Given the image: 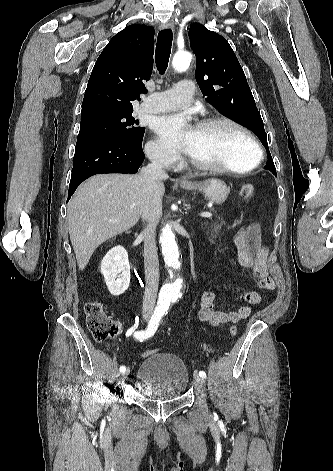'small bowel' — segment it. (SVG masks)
Wrapping results in <instances>:
<instances>
[{
  "mask_svg": "<svg viewBox=\"0 0 333 471\" xmlns=\"http://www.w3.org/2000/svg\"><path fill=\"white\" fill-rule=\"evenodd\" d=\"M236 257L240 266L250 269L252 277L260 289L271 291L275 288V281L269 275L267 257L268 251L261 243L260 226L252 223L240 229L233 240ZM216 296L212 291H205L201 295L198 318L203 323L214 327H221L227 323H238L247 319L251 313V305L262 302V295L256 291H245L237 299L244 304L234 310H218L215 306Z\"/></svg>",
  "mask_w": 333,
  "mask_h": 471,
  "instance_id": "small-bowel-1",
  "label": "small bowel"
}]
</instances>
